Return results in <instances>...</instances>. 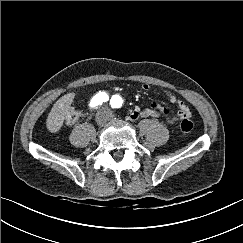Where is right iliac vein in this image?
<instances>
[{
  "instance_id": "63e3f726",
  "label": "right iliac vein",
  "mask_w": 243,
  "mask_h": 243,
  "mask_svg": "<svg viewBox=\"0 0 243 243\" xmlns=\"http://www.w3.org/2000/svg\"><path fill=\"white\" fill-rule=\"evenodd\" d=\"M98 126L102 127L106 123V116L104 113H100L96 118Z\"/></svg>"
}]
</instances>
